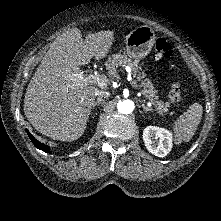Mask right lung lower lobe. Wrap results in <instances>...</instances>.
Returning a JSON list of instances; mask_svg holds the SVG:
<instances>
[{
	"label": "right lung lower lobe",
	"instance_id": "obj_1",
	"mask_svg": "<svg viewBox=\"0 0 221 221\" xmlns=\"http://www.w3.org/2000/svg\"><path fill=\"white\" fill-rule=\"evenodd\" d=\"M27 134L29 136V138L31 139V141L33 142V144L40 150L46 152V153H50L49 147L41 142H39L38 140H36L27 130Z\"/></svg>",
	"mask_w": 221,
	"mask_h": 221
}]
</instances>
